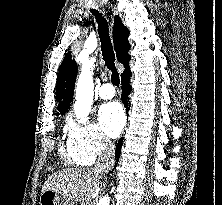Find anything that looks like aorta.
<instances>
[{"label": "aorta", "mask_w": 222, "mask_h": 205, "mask_svg": "<svg viewBox=\"0 0 222 205\" xmlns=\"http://www.w3.org/2000/svg\"><path fill=\"white\" fill-rule=\"evenodd\" d=\"M92 67L93 62L91 60H86L76 84L74 113L77 119L80 120H83L89 115L93 104L94 83ZM111 201V198L108 195H105L99 200L97 205H110Z\"/></svg>", "instance_id": "762f6f07"}]
</instances>
